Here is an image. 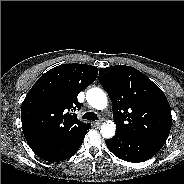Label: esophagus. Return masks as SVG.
<instances>
[{
  "instance_id": "34e87169",
  "label": "esophagus",
  "mask_w": 184,
  "mask_h": 184,
  "mask_svg": "<svg viewBox=\"0 0 184 184\" xmlns=\"http://www.w3.org/2000/svg\"><path fill=\"white\" fill-rule=\"evenodd\" d=\"M102 124V122L101 121H97V122H95V125L96 126H100Z\"/></svg>"
}]
</instances>
